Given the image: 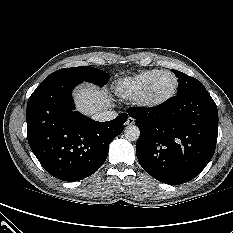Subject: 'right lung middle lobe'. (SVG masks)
<instances>
[{
	"mask_svg": "<svg viewBox=\"0 0 233 233\" xmlns=\"http://www.w3.org/2000/svg\"><path fill=\"white\" fill-rule=\"evenodd\" d=\"M109 78L110 77L106 72L94 67L81 66L73 68H63L47 76L37 88H41L61 79H75L81 82L87 81L98 86H103L108 82Z\"/></svg>",
	"mask_w": 233,
	"mask_h": 233,
	"instance_id": "dd1d6c3e",
	"label": "right lung middle lobe"
}]
</instances>
